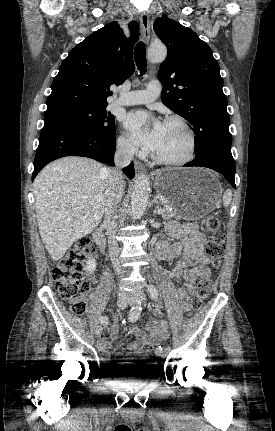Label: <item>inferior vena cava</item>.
<instances>
[{
    "label": "inferior vena cava",
    "mask_w": 275,
    "mask_h": 431,
    "mask_svg": "<svg viewBox=\"0 0 275 431\" xmlns=\"http://www.w3.org/2000/svg\"><path fill=\"white\" fill-rule=\"evenodd\" d=\"M134 154V147L129 143L118 145L114 156L116 168L106 169V203L104 208V224L108 232L109 255L111 262L119 274L121 271L118 262V244L115 240L117 223L114 212L123 196L124 177L121 169L130 164Z\"/></svg>",
    "instance_id": "obj_1"
}]
</instances>
